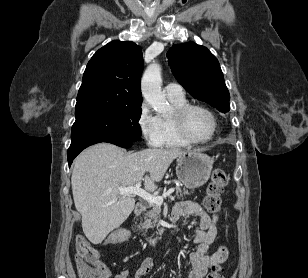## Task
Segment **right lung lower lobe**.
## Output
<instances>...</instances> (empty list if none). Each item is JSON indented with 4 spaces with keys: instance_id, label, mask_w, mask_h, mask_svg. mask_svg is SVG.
Here are the masks:
<instances>
[{
    "instance_id": "1",
    "label": "right lung lower lobe",
    "mask_w": 308,
    "mask_h": 278,
    "mask_svg": "<svg viewBox=\"0 0 308 278\" xmlns=\"http://www.w3.org/2000/svg\"><path fill=\"white\" fill-rule=\"evenodd\" d=\"M100 142H108L115 144L117 146L123 147V148H129L132 143L131 141H123V140H114V139H89V140H82L77 142H71V145L68 149L67 155H68V163L69 166L72 164L73 159L86 147L100 143Z\"/></svg>"
}]
</instances>
